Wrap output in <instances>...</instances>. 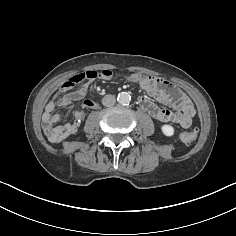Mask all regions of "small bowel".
Wrapping results in <instances>:
<instances>
[{
    "label": "small bowel",
    "instance_id": "small-bowel-1",
    "mask_svg": "<svg viewBox=\"0 0 236 236\" xmlns=\"http://www.w3.org/2000/svg\"><path fill=\"white\" fill-rule=\"evenodd\" d=\"M100 73L90 70L69 77L48 101L42 115V127L49 141L58 143L77 132L85 117L84 111H74L71 123L59 124L62 116L54 113V110L56 107H67L73 101L84 99L89 82L96 77L110 78L100 76ZM134 75L135 80L129 82L139 83L149 97L154 98L161 104H170L171 106V108H160L147 96H141L138 102L144 111L159 122H174L185 129L191 126L192 118L195 115V107L184 92L159 77ZM96 106L97 103L89 99H84L82 102L83 108L93 109Z\"/></svg>",
    "mask_w": 236,
    "mask_h": 236
}]
</instances>
